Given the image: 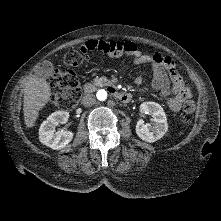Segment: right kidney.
Returning a JSON list of instances; mask_svg holds the SVG:
<instances>
[{
	"label": "right kidney",
	"mask_w": 221,
	"mask_h": 221,
	"mask_svg": "<svg viewBox=\"0 0 221 221\" xmlns=\"http://www.w3.org/2000/svg\"><path fill=\"white\" fill-rule=\"evenodd\" d=\"M69 118L66 111H56L52 113L40 126V142L54 150L64 148L73 139L74 134L71 131H55V126L65 124Z\"/></svg>",
	"instance_id": "1"
}]
</instances>
